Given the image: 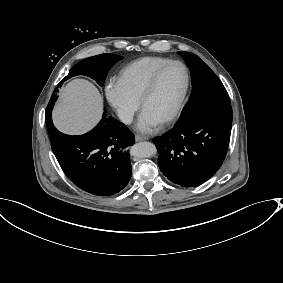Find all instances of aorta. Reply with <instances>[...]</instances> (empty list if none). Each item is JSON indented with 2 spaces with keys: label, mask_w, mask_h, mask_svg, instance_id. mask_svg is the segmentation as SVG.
Returning <instances> with one entry per match:
<instances>
[{
  "label": "aorta",
  "mask_w": 283,
  "mask_h": 283,
  "mask_svg": "<svg viewBox=\"0 0 283 283\" xmlns=\"http://www.w3.org/2000/svg\"><path fill=\"white\" fill-rule=\"evenodd\" d=\"M131 154L138 158H148L157 153L156 147L151 142H139L132 146Z\"/></svg>",
  "instance_id": "aorta-1"
}]
</instances>
